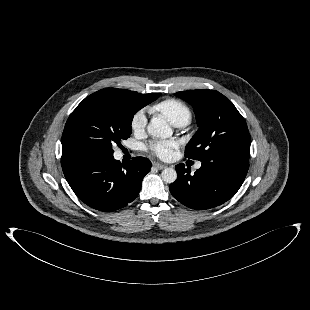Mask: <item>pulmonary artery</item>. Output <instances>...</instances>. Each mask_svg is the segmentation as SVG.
I'll return each instance as SVG.
<instances>
[{
    "label": "pulmonary artery",
    "instance_id": "1",
    "mask_svg": "<svg viewBox=\"0 0 310 310\" xmlns=\"http://www.w3.org/2000/svg\"><path fill=\"white\" fill-rule=\"evenodd\" d=\"M200 167H201V163L198 162V163L195 165V168H196V169H199Z\"/></svg>",
    "mask_w": 310,
    "mask_h": 310
}]
</instances>
